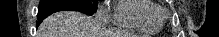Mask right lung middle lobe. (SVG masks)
<instances>
[{
	"mask_svg": "<svg viewBox=\"0 0 219 37\" xmlns=\"http://www.w3.org/2000/svg\"><path fill=\"white\" fill-rule=\"evenodd\" d=\"M59 5L70 6L87 15H92L97 10V0H41L39 11Z\"/></svg>",
	"mask_w": 219,
	"mask_h": 37,
	"instance_id": "1",
	"label": "right lung middle lobe"
}]
</instances>
